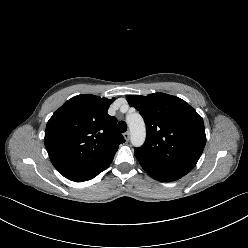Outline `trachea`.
<instances>
[{
    "instance_id": "trachea-1",
    "label": "trachea",
    "mask_w": 248,
    "mask_h": 248,
    "mask_svg": "<svg viewBox=\"0 0 248 248\" xmlns=\"http://www.w3.org/2000/svg\"><path fill=\"white\" fill-rule=\"evenodd\" d=\"M118 130H119L121 133L126 132V130H127V125H126V123H125L124 121H120V122L118 123Z\"/></svg>"
}]
</instances>
